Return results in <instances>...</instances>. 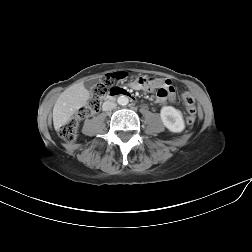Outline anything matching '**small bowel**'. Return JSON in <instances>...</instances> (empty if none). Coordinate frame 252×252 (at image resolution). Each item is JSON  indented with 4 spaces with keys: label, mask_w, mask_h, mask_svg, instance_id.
Here are the masks:
<instances>
[{
    "label": "small bowel",
    "mask_w": 252,
    "mask_h": 252,
    "mask_svg": "<svg viewBox=\"0 0 252 252\" xmlns=\"http://www.w3.org/2000/svg\"><path fill=\"white\" fill-rule=\"evenodd\" d=\"M150 82L149 88H144L139 79L131 82L129 87L133 90H146L152 91L157 90V98L156 101L158 104H163L166 101H174L175 100V89L171 80L169 79H148Z\"/></svg>",
    "instance_id": "obj_1"
}]
</instances>
